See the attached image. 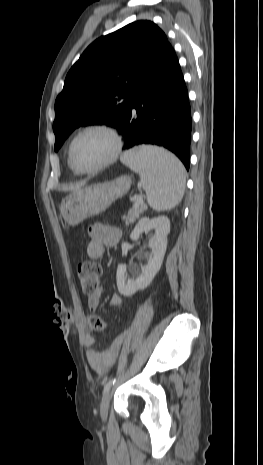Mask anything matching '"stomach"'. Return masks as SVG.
<instances>
[{"mask_svg":"<svg viewBox=\"0 0 263 465\" xmlns=\"http://www.w3.org/2000/svg\"><path fill=\"white\" fill-rule=\"evenodd\" d=\"M131 186L129 176L87 186L71 192L60 204V212L69 225H77L83 220L104 212L116 199L124 196Z\"/></svg>","mask_w":263,"mask_h":465,"instance_id":"obj_1","label":"stomach"}]
</instances>
